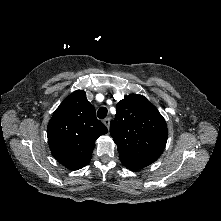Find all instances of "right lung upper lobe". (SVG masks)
<instances>
[{
  "label": "right lung upper lobe",
  "instance_id": "right-lung-upper-lobe-1",
  "mask_svg": "<svg viewBox=\"0 0 221 221\" xmlns=\"http://www.w3.org/2000/svg\"><path fill=\"white\" fill-rule=\"evenodd\" d=\"M108 129L96 118L95 108L83 90L70 94L54 112L47 137L53 157L70 170L90 161L95 141Z\"/></svg>",
  "mask_w": 221,
  "mask_h": 221
}]
</instances>
